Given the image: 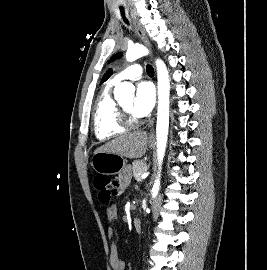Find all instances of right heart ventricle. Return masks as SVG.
I'll return each instance as SVG.
<instances>
[{
    "label": "right heart ventricle",
    "instance_id": "1",
    "mask_svg": "<svg viewBox=\"0 0 267 270\" xmlns=\"http://www.w3.org/2000/svg\"><path fill=\"white\" fill-rule=\"evenodd\" d=\"M116 83L114 79L109 81L95 101L94 133L100 141L116 137L126 130L118 121V104L112 96V88Z\"/></svg>",
    "mask_w": 267,
    "mask_h": 270
}]
</instances>
